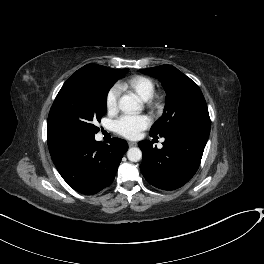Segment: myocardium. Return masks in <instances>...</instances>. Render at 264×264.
<instances>
[{
	"label": "myocardium",
	"mask_w": 264,
	"mask_h": 264,
	"mask_svg": "<svg viewBox=\"0 0 264 264\" xmlns=\"http://www.w3.org/2000/svg\"><path fill=\"white\" fill-rule=\"evenodd\" d=\"M149 101L155 110H158L162 107V99L159 96L153 95Z\"/></svg>",
	"instance_id": "1"
}]
</instances>
